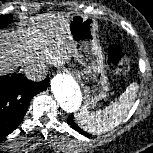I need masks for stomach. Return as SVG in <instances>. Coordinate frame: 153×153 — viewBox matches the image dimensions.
<instances>
[{"mask_svg":"<svg viewBox=\"0 0 153 153\" xmlns=\"http://www.w3.org/2000/svg\"><path fill=\"white\" fill-rule=\"evenodd\" d=\"M97 22L88 16L74 14L69 19V36L73 57L83 66L77 78L84 89L85 101L94 107L105 99L110 83L105 74L104 55L96 34Z\"/></svg>","mask_w":153,"mask_h":153,"instance_id":"1","label":"stomach"}]
</instances>
